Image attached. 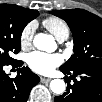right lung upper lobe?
<instances>
[{
  "label": "right lung upper lobe",
  "mask_w": 102,
  "mask_h": 102,
  "mask_svg": "<svg viewBox=\"0 0 102 102\" xmlns=\"http://www.w3.org/2000/svg\"><path fill=\"white\" fill-rule=\"evenodd\" d=\"M28 12H34L35 10H30V9H27V8H25Z\"/></svg>",
  "instance_id": "obj_1"
}]
</instances>
